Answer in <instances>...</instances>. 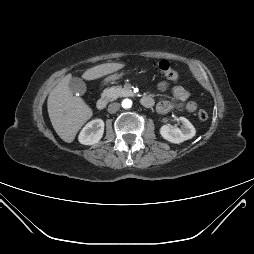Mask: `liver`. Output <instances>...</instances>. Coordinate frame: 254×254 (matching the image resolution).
<instances>
[{
  "instance_id": "obj_1",
  "label": "liver",
  "mask_w": 254,
  "mask_h": 254,
  "mask_svg": "<svg viewBox=\"0 0 254 254\" xmlns=\"http://www.w3.org/2000/svg\"><path fill=\"white\" fill-rule=\"evenodd\" d=\"M125 66L123 63H105L86 70L82 78L95 80ZM71 74L64 77L50 92L47 108L50 121L58 136L71 143L79 129L92 116L91 108L80 97L73 96L69 88Z\"/></svg>"
}]
</instances>
